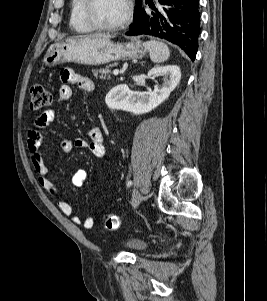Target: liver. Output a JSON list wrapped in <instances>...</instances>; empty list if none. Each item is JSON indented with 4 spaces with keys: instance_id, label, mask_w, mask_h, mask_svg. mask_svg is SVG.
I'll use <instances>...</instances> for the list:
<instances>
[{
    "instance_id": "liver-1",
    "label": "liver",
    "mask_w": 267,
    "mask_h": 301,
    "mask_svg": "<svg viewBox=\"0 0 267 301\" xmlns=\"http://www.w3.org/2000/svg\"><path fill=\"white\" fill-rule=\"evenodd\" d=\"M110 35L105 34H94V35H88V36H79L76 39H89V38H104V39H110Z\"/></svg>"
}]
</instances>
